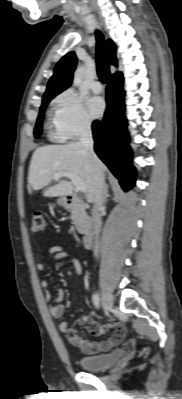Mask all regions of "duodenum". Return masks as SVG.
<instances>
[{
    "label": "duodenum",
    "mask_w": 182,
    "mask_h": 399,
    "mask_svg": "<svg viewBox=\"0 0 182 399\" xmlns=\"http://www.w3.org/2000/svg\"><path fill=\"white\" fill-rule=\"evenodd\" d=\"M81 203H82L81 200L73 194H70L66 197V204L70 207L75 205H80ZM94 241H95V227L94 224L91 221H89L83 235V247L91 248L94 245Z\"/></svg>",
    "instance_id": "duodenum-1"
}]
</instances>
